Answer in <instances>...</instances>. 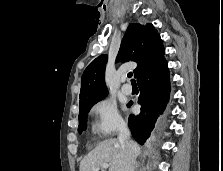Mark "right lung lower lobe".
Here are the masks:
<instances>
[{"instance_id":"1","label":"right lung lower lobe","mask_w":223,"mask_h":171,"mask_svg":"<svg viewBox=\"0 0 223 171\" xmlns=\"http://www.w3.org/2000/svg\"><path fill=\"white\" fill-rule=\"evenodd\" d=\"M141 113L130 115L128 125L132 136L141 145L149 138L159 114L169 101V70L165 59L137 80ZM132 101L128 106L132 105Z\"/></svg>"}]
</instances>
